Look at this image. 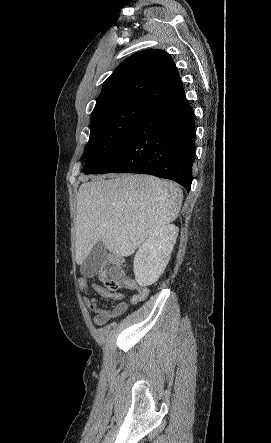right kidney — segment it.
<instances>
[{"label": "right kidney", "instance_id": "ca27d5eb", "mask_svg": "<svg viewBox=\"0 0 271 443\" xmlns=\"http://www.w3.org/2000/svg\"><path fill=\"white\" fill-rule=\"evenodd\" d=\"M178 231L177 225L167 223L140 245L133 261L134 275L139 285H151L159 279L170 259Z\"/></svg>", "mask_w": 271, "mask_h": 443}]
</instances>
